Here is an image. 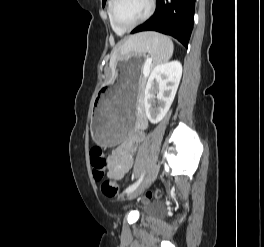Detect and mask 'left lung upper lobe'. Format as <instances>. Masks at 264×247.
Listing matches in <instances>:
<instances>
[{
    "label": "left lung upper lobe",
    "mask_w": 264,
    "mask_h": 247,
    "mask_svg": "<svg viewBox=\"0 0 264 247\" xmlns=\"http://www.w3.org/2000/svg\"><path fill=\"white\" fill-rule=\"evenodd\" d=\"M105 2H106V0H103V2H102L103 6L105 5Z\"/></svg>",
    "instance_id": "1"
}]
</instances>
